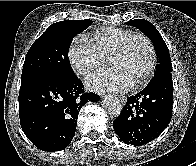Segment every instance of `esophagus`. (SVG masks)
<instances>
[{"label":"esophagus","instance_id":"1","mask_svg":"<svg viewBox=\"0 0 196 166\" xmlns=\"http://www.w3.org/2000/svg\"><path fill=\"white\" fill-rule=\"evenodd\" d=\"M105 97V95H101V98H104ZM120 98V101L122 102V103H125L126 102V97L125 96H121V97H119Z\"/></svg>","mask_w":196,"mask_h":166}]
</instances>
